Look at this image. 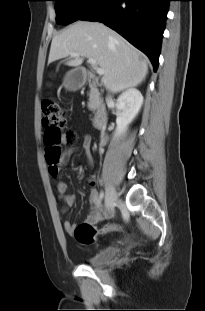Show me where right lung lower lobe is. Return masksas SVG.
<instances>
[{"instance_id":"right-lung-lower-lobe-1","label":"right lung lower lobe","mask_w":205,"mask_h":311,"mask_svg":"<svg viewBox=\"0 0 205 311\" xmlns=\"http://www.w3.org/2000/svg\"><path fill=\"white\" fill-rule=\"evenodd\" d=\"M171 0H101L80 20L101 22L143 51L157 70Z\"/></svg>"}]
</instances>
